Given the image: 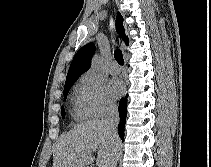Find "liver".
<instances>
[{
	"mask_svg": "<svg viewBox=\"0 0 211 167\" xmlns=\"http://www.w3.org/2000/svg\"><path fill=\"white\" fill-rule=\"evenodd\" d=\"M120 141L114 142L103 120L93 119L74 127L60 136L53 152V167H87L98 150V167H113Z\"/></svg>",
	"mask_w": 211,
	"mask_h": 167,
	"instance_id": "1",
	"label": "liver"
}]
</instances>
